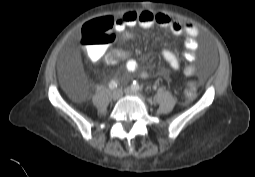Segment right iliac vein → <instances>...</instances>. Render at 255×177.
<instances>
[{
  "mask_svg": "<svg viewBox=\"0 0 255 177\" xmlns=\"http://www.w3.org/2000/svg\"><path fill=\"white\" fill-rule=\"evenodd\" d=\"M122 96V90L117 89L112 93V99L118 100Z\"/></svg>",
  "mask_w": 255,
  "mask_h": 177,
  "instance_id": "63e3f726",
  "label": "right iliac vein"
}]
</instances>
